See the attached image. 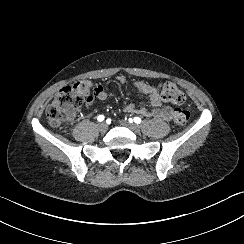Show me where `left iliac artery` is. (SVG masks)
<instances>
[{
  "instance_id": "obj_1",
  "label": "left iliac artery",
  "mask_w": 244,
  "mask_h": 244,
  "mask_svg": "<svg viewBox=\"0 0 244 244\" xmlns=\"http://www.w3.org/2000/svg\"><path fill=\"white\" fill-rule=\"evenodd\" d=\"M132 120V119H131ZM134 122L137 123V124H140L141 123V119L139 117H134Z\"/></svg>"
}]
</instances>
